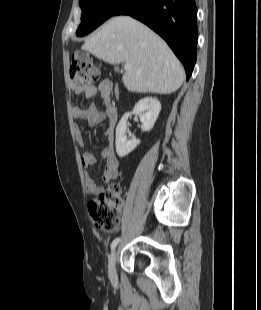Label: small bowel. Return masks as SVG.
<instances>
[{
	"instance_id": "c3829d8e",
	"label": "small bowel",
	"mask_w": 261,
	"mask_h": 310,
	"mask_svg": "<svg viewBox=\"0 0 261 310\" xmlns=\"http://www.w3.org/2000/svg\"><path fill=\"white\" fill-rule=\"evenodd\" d=\"M72 91L75 94H84L87 98L99 96L104 105V111L99 110L95 104H91L87 108L73 107L72 115L75 119L87 120L91 126L98 125L103 122L105 118H108L109 123L105 131L107 145L101 152V158L105 163L102 179L104 182L108 183L116 179L119 173V161L114 150L115 122L112 121V114L115 110L110 100V83L107 80H103L96 86H73ZM74 131L77 142L83 145L84 140L80 127L76 125ZM81 163L84 168V179L87 191L95 195L102 193L103 188L98 186L88 173V169L97 163L95 155L90 152H84L81 157Z\"/></svg>"
}]
</instances>
